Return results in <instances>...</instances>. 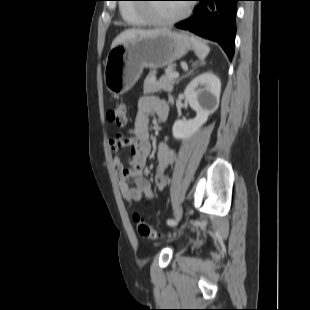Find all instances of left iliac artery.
Listing matches in <instances>:
<instances>
[{
    "mask_svg": "<svg viewBox=\"0 0 310 310\" xmlns=\"http://www.w3.org/2000/svg\"><path fill=\"white\" fill-rule=\"evenodd\" d=\"M167 224L172 226L174 224V220L173 219H168L167 220Z\"/></svg>",
    "mask_w": 310,
    "mask_h": 310,
    "instance_id": "obj_1",
    "label": "left iliac artery"
}]
</instances>
